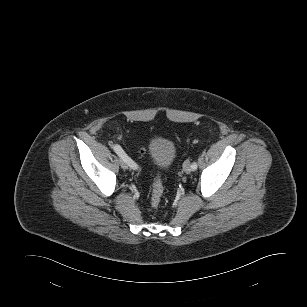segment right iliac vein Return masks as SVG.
I'll list each match as a JSON object with an SVG mask.
<instances>
[{"label": "right iliac vein", "instance_id": "1", "mask_svg": "<svg viewBox=\"0 0 307 307\" xmlns=\"http://www.w3.org/2000/svg\"><path fill=\"white\" fill-rule=\"evenodd\" d=\"M119 163H120V166H121L123 169H127V168H128V164H127L126 161L123 160L122 158L119 160Z\"/></svg>", "mask_w": 307, "mask_h": 307}]
</instances>
